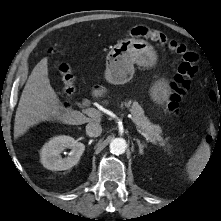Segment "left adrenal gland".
Returning a JSON list of instances; mask_svg holds the SVG:
<instances>
[{
	"label": "left adrenal gland",
	"mask_w": 221,
	"mask_h": 221,
	"mask_svg": "<svg viewBox=\"0 0 221 221\" xmlns=\"http://www.w3.org/2000/svg\"><path fill=\"white\" fill-rule=\"evenodd\" d=\"M136 142L139 146V154L143 155L146 144H142L139 139H136Z\"/></svg>",
	"instance_id": "1"
}]
</instances>
